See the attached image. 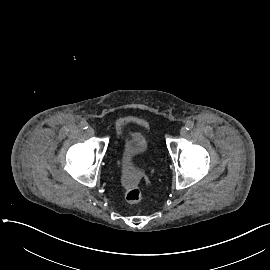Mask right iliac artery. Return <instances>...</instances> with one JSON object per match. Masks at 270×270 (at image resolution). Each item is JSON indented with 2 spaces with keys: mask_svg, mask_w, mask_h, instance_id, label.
Instances as JSON below:
<instances>
[{
  "mask_svg": "<svg viewBox=\"0 0 270 270\" xmlns=\"http://www.w3.org/2000/svg\"><path fill=\"white\" fill-rule=\"evenodd\" d=\"M80 126H81L82 129H87L88 128V123L86 121H82L80 123Z\"/></svg>",
  "mask_w": 270,
  "mask_h": 270,
  "instance_id": "right-iliac-artery-1",
  "label": "right iliac artery"
}]
</instances>
